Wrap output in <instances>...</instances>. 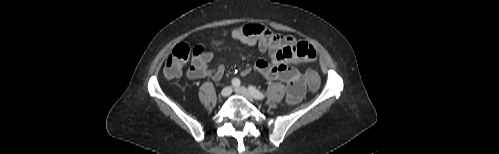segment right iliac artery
I'll return each instance as SVG.
<instances>
[{
  "mask_svg": "<svg viewBox=\"0 0 499 154\" xmlns=\"http://www.w3.org/2000/svg\"><path fill=\"white\" fill-rule=\"evenodd\" d=\"M239 85H240V80H239L238 78H234V79L232 80V86L236 88V87H238Z\"/></svg>",
  "mask_w": 499,
  "mask_h": 154,
  "instance_id": "obj_1",
  "label": "right iliac artery"
}]
</instances>
